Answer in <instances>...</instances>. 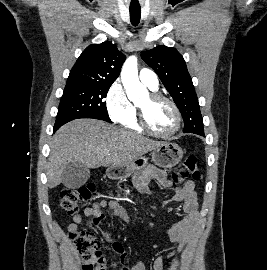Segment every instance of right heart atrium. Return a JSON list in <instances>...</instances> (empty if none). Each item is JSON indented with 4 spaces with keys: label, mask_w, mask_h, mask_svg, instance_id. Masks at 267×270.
Listing matches in <instances>:
<instances>
[{
    "label": "right heart atrium",
    "mask_w": 267,
    "mask_h": 270,
    "mask_svg": "<svg viewBox=\"0 0 267 270\" xmlns=\"http://www.w3.org/2000/svg\"><path fill=\"white\" fill-rule=\"evenodd\" d=\"M105 105L110 119L115 123H123L133 113V105L120 81H115L109 87L105 96Z\"/></svg>",
    "instance_id": "d8ad5b80"
}]
</instances>
